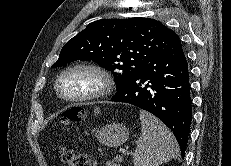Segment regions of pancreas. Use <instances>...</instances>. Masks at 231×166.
I'll return each instance as SVG.
<instances>
[{
  "label": "pancreas",
  "mask_w": 231,
  "mask_h": 166,
  "mask_svg": "<svg viewBox=\"0 0 231 166\" xmlns=\"http://www.w3.org/2000/svg\"><path fill=\"white\" fill-rule=\"evenodd\" d=\"M122 161V159H117L115 158V162L114 161H107L106 162V166H119V163Z\"/></svg>",
  "instance_id": "pancreas-1"
}]
</instances>
